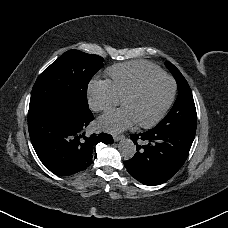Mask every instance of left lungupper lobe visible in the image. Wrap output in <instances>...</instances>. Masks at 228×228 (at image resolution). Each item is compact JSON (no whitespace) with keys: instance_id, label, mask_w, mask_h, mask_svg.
Listing matches in <instances>:
<instances>
[{"instance_id":"obj_1","label":"left lung upper lobe","mask_w":228,"mask_h":228,"mask_svg":"<svg viewBox=\"0 0 228 228\" xmlns=\"http://www.w3.org/2000/svg\"><path fill=\"white\" fill-rule=\"evenodd\" d=\"M165 65L177 81L178 96L172 109L156 127L196 131L197 115L191 89L183 75L172 63L165 62Z\"/></svg>"}]
</instances>
